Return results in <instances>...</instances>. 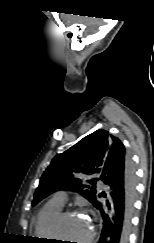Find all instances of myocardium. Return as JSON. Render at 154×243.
<instances>
[{
	"instance_id": "f54148a6",
	"label": "myocardium",
	"mask_w": 154,
	"mask_h": 243,
	"mask_svg": "<svg viewBox=\"0 0 154 243\" xmlns=\"http://www.w3.org/2000/svg\"><path fill=\"white\" fill-rule=\"evenodd\" d=\"M76 214H79V211L73 210V209H66V210H62L55 216V218L51 222V226H50L51 236L53 239L57 240L58 238H61L58 235V232H59V227H60V224L62 223V221L66 217L71 216V215H76ZM89 222L91 224V230H90L88 237L85 239V241H83V243H91L93 238L95 237V231H96L95 223L93 222L92 219H89Z\"/></svg>"
}]
</instances>
